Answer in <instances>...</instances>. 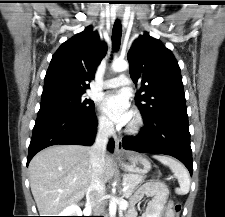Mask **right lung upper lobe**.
<instances>
[{"instance_id":"1","label":"right lung upper lobe","mask_w":225,"mask_h":217,"mask_svg":"<svg viewBox=\"0 0 225 217\" xmlns=\"http://www.w3.org/2000/svg\"><path fill=\"white\" fill-rule=\"evenodd\" d=\"M106 51V44L99 41L91 26L64 42L51 59L42 94L54 91L85 93Z\"/></svg>"}]
</instances>
